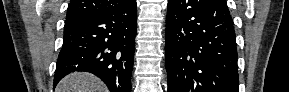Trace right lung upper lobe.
I'll return each instance as SVG.
<instances>
[{"mask_svg":"<svg viewBox=\"0 0 289 92\" xmlns=\"http://www.w3.org/2000/svg\"><path fill=\"white\" fill-rule=\"evenodd\" d=\"M129 1L130 0H71L68 6L65 24L79 18L118 8Z\"/></svg>","mask_w":289,"mask_h":92,"instance_id":"obj_1","label":"right lung upper lobe"}]
</instances>
